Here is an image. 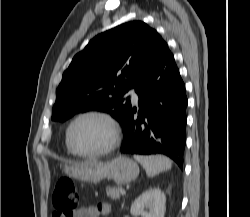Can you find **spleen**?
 <instances>
[{"instance_id": "obj_1", "label": "spleen", "mask_w": 250, "mask_h": 217, "mask_svg": "<svg viewBox=\"0 0 250 217\" xmlns=\"http://www.w3.org/2000/svg\"><path fill=\"white\" fill-rule=\"evenodd\" d=\"M134 158L143 166L149 177H153L163 171L169 170L172 166L171 161L167 157L161 155H134Z\"/></svg>"}]
</instances>
